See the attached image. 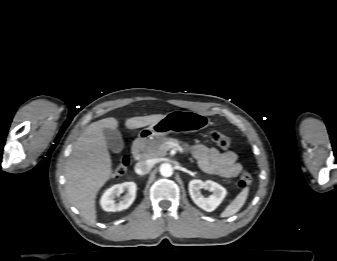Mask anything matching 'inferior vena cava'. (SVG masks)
Instances as JSON below:
<instances>
[{
  "label": "inferior vena cava",
  "instance_id": "602c4592",
  "mask_svg": "<svg viewBox=\"0 0 337 261\" xmlns=\"http://www.w3.org/2000/svg\"><path fill=\"white\" fill-rule=\"evenodd\" d=\"M153 162L150 160L140 161L135 165V172L139 175H145L150 172Z\"/></svg>",
  "mask_w": 337,
  "mask_h": 261
}]
</instances>
